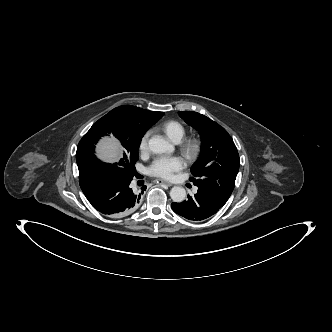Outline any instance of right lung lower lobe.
<instances>
[{
	"label": "right lung lower lobe",
	"mask_w": 332,
	"mask_h": 332,
	"mask_svg": "<svg viewBox=\"0 0 332 332\" xmlns=\"http://www.w3.org/2000/svg\"><path fill=\"white\" fill-rule=\"evenodd\" d=\"M79 179L80 187L91 205L111 217L135 211L146 189L143 186L141 192H134L129 186L133 176H122L112 169L100 168Z\"/></svg>",
	"instance_id": "98d812e1"
}]
</instances>
